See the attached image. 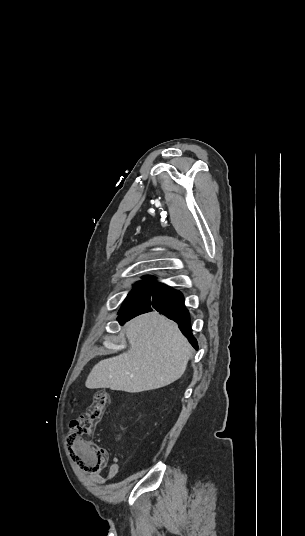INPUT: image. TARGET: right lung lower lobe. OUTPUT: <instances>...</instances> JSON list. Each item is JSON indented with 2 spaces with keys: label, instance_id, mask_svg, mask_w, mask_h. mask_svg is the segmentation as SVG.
I'll return each instance as SVG.
<instances>
[{
  "label": "right lung lower lobe",
  "instance_id": "obj_1",
  "mask_svg": "<svg viewBox=\"0 0 305 536\" xmlns=\"http://www.w3.org/2000/svg\"><path fill=\"white\" fill-rule=\"evenodd\" d=\"M153 309L176 321L181 332L188 338L192 346L198 349L197 341L192 335L190 316L184 305L183 295L180 291L164 284L157 285L148 294L120 312L117 320L123 325L125 321L137 315L153 311Z\"/></svg>",
  "mask_w": 305,
  "mask_h": 536
}]
</instances>
